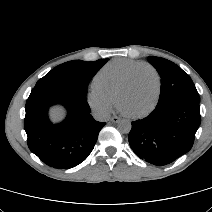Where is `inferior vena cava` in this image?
Here are the masks:
<instances>
[{"mask_svg":"<svg viewBox=\"0 0 212 212\" xmlns=\"http://www.w3.org/2000/svg\"><path fill=\"white\" fill-rule=\"evenodd\" d=\"M93 117L97 120V121H108L110 119V114L108 111L106 110H102V109H95L93 111Z\"/></svg>","mask_w":212,"mask_h":212,"instance_id":"inferior-vena-cava-1","label":"inferior vena cava"}]
</instances>
